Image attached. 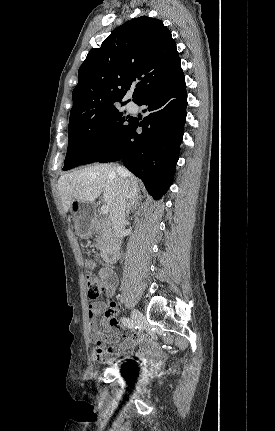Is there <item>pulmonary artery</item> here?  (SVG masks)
I'll list each match as a JSON object with an SVG mask.
<instances>
[{"mask_svg":"<svg viewBox=\"0 0 275 431\" xmlns=\"http://www.w3.org/2000/svg\"><path fill=\"white\" fill-rule=\"evenodd\" d=\"M128 108H129L130 110H133V109L135 108V105L131 103V104H129V105H128Z\"/></svg>","mask_w":275,"mask_h":431,"instance_id":"e3ab8cb5","label":"pulmonary artery"}]
</instances>
